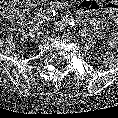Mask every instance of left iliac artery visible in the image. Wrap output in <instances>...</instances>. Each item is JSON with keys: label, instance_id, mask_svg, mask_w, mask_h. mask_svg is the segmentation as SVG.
Here are the masks:
<instances>
[{"label": "left iliac artery", "instance_id": "44dca946", "mask_svg": "<svg viewBox=\"0 0 118 118\" xmlns=\"http://www.w3.org/2000/svg\"><path fill=\"white\" fill-rule=\"evenodd\" d=\"M63 21L65 23H67L68 25H70L71 27H74L75 26V20L72 18V16H70L68 14H65L63 16Z\"/></svg>", "mask_w": 118, "mask_h": 118}]
</instances>
